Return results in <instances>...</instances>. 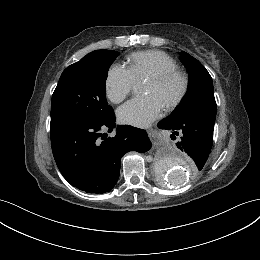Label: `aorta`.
Here are the masks:
<instances>
[{
  "instance_id": "762f6f07",
  "label": "aorta",
  "mask_w": 260,
  "mask_h": 260,
  "mask_svg": "<svg viewBox=\"0 0 260 260\" xmlns=\"http://www.w3.org/2000/svg\"><path fill=\"white\" fill-rule=\"evenodd\" d=\"M156 176L168 185H180L191 175L189 162L184 156L172 153L154 165Z\"/></svg>"
}]
</instances>
